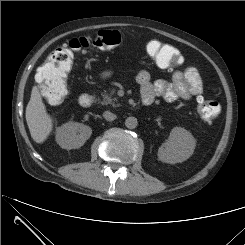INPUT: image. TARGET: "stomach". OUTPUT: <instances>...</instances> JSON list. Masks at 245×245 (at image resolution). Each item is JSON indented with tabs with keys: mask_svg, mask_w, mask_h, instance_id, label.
Listing matches in <instances>:
<instances>
[{
	"mask_svg": "<svg viewBox=\"0 0 245 245\" xmlns=\"http://www.w3.org/2000/svg\"><path fill=\"white\" fill-rule=\"evenodd\" d=\"M111 75H112V71H110V70H106V71L101 73V77L104 79L111 77Z\"/></svg>",
	"mask_w": 245,
	"mask_h": 245,
	"instance_id": "1",
	"label": "stomach"
}]
</instances>
